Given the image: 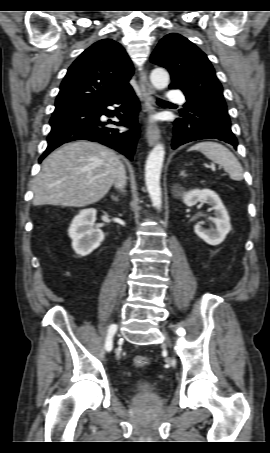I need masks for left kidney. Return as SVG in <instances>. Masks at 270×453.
<instances>
[{"instance_id": "1", "label": "left kidney", "mask_w": 270, "mask_h": 453, "mask_svg": "<svg viewBox=\"0 0 270 453\" xmlns=\"http://www.w3.org/2000/svg\"><path fill=\"white\" fill-rule=\"evenodd\" d=\"M186 206L192 207L198 202H204L214 210V225L210 229H205L200 223L194 226L195 233L209 245H219L224 241L227 234L231 231L230 217L219 196L210 189H193L186 192L183 196Z\"/></svg>"}]
</instances>
